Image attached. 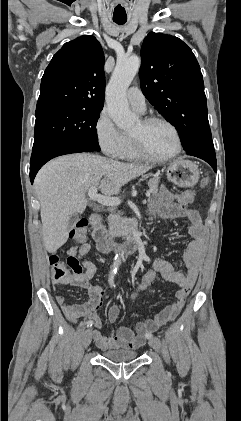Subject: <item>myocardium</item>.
I'll use <instances>...</instances> for the list:
<instances>
[{
    "instance_id": "1",
    "label": "myocardium",
    "mask_w": 241,
    "mask_h": 421,
    "mask_svg": "<svg viewBox=\"0 0 241 421\" xmlns=\"http://www.w3.org/2000/svg\"><path fill=\"white\" fill-rule=\"evenodd\" d=\"M143 126H149L155 123H162L166 126H168L174 133L175 138H176V148L175 150L166 155V156H162V157H157L154 156L152 154H150L143 142L142 139L139 135H135V134H130V138L134 147L135 152L138 154V156L144 160L150 161V162H154V163H165L168 162L172 159H174L175 157H177L181 151H182V137L181 134L178 130V128L169 120L163 118V117H158V116H149V117H145L141 120Z\"/></svg>"
}]
</instances>
